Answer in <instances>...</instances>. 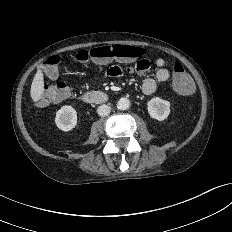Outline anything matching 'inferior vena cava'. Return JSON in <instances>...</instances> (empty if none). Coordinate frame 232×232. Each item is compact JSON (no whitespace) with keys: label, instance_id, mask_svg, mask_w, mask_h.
I'll use <instances>...</instances> for the list:
<instances>
[{"label":"inferior vena cava","instance_id":"inferior-vena-cava-1","mask_svg":"<svg viewBox=\"0 0 232 232\" xmlns=\"http://www.w3.org/2000/svg\"><path fill=\"white\" fill-rule=\"evenodd\" d=\"M110 111H111V107L103 104L98 107L97 113L99 116L104 117L107 116L110 113Z\"/></svg>","mask_w":232,"mask_h":232}]
</instances>
